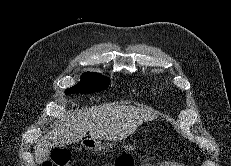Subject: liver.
Instances as JSON below:
<instances>
[{
	"mask_svg": "<svg viewBox=\"0 0 231 166\" xmlns=\"http://www.w3.org/2000/svg\"><path fill=\"white\" fill-rule=\"evenodd\" d=\"M157 118V113L147 107L103 105L89 109L71 110L63 123L42 136L34 147L37 164L45 162L53 147H63L80 141L87 132L98 141L125 139L146 121Z\"/></svg>",
	"mask_w": 231,
	"mask_h": 166,
	"instance_id": "liver-1",
	"label": "liver"
}]
</instances>
